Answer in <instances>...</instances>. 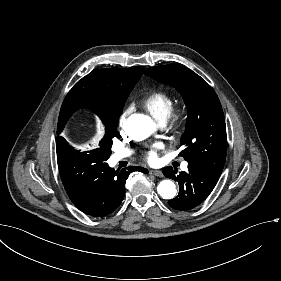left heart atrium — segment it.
Masks as SVG:
<instances>
[{"mask_svg": "<svg viewBox=\"0 0 281 281\" xmlns=\"http://www.w3.org/2000/svg\"><path fill=\"white\" fill-rule=\"evenodd\" d=\"M161 146L158 145L156 147H152L150 149H147V150H144L142 152L143 156L145 157V159L149 162V163H152V164H155L158 162V153H157V150L158 148H160Z\"/></svg>", "mask_w": 281, "mask_h": 281, "instance_id": "left-heart-atrium-1", "label": "left heart atrium"}]
</instances>
